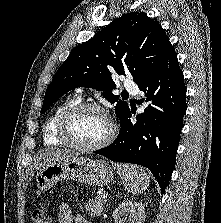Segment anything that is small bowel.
I'll list each match as a JSON object with an SVG mask.
<instances>
[{
  "label": "small bowel",
  "mask_w": 221,
  "mask_h": 223,
  "mask_svg": "<svg viewBox=\"0 0 221 223\" xmlns=\"http://www.w3.org/2000/svg\"><path fill=\"white\" fill-rule=\"evenodd\" d=\"M59 223H89L81 216H74L68 204L62 203L58 207Z\"/></svg>",
  "instance_id": "c3829d8e"
}]
</instances>
